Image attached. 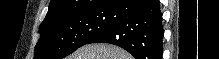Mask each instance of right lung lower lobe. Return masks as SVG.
Here are the masks:
<instances>
[{"instance_id":"1","label":"right lung lower lobe","mask_w":219,"mask_h":59,"mask_svg":"<svg viewBox=\"0 0 219 59\" xmlns=\"http://www.w3.org/2000/svg\"><path fill=\"white\" fill-rule=\"evenodd\" d=\"M115 22L91 43L122 47L136 59H161L163 26L159 0H119Z\"/></svg>"}]
</instances>
